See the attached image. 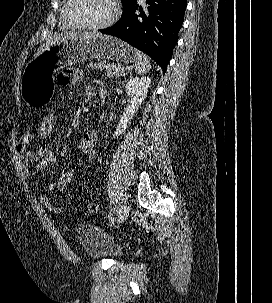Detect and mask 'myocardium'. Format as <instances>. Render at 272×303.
Returning a JSON list of instances; mask_svg holds the SVG:
<instances>
[{"label": "myocardium", "instance_id": "f54148a6", "mask_svg": "<svg viewBox=\"0 0 272 303\" xmlns=\"http://www.w3.org/2000/svg\"><path fill=\"white\" fill-rule=\"evenodd\" d=\"M74 2H75V0H67L66 6H65V11H64V17H65L66 21L72 27L78 28V29L102 30V29L108 28L115 22V20L117 19V17L119 16V13H120V7H119L117 0H110V3L112 5V12H111V15L109 16V18L105 22H103L101 24H96V25L84 24V23L74 20L70 14V10H71V7Z\"/></svg>", "mask_w": 272, "mask_h": 303}]
</instances>
